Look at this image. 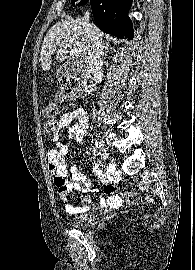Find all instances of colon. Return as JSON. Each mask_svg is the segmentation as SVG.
Returning a JSON list of instances; mask_svg holds the SVG:
<instances>
[{
    "label": "colon",
    "instance_id": "5ec220e1",
    "mask_svg": "<svg viewBox=\"0 0 195 270\" xmlns=\"http://www.w3.org/2000/svg\"><path fill=\"white\" fill-rule=\"evenodd\" d=\"M83 83L77 77H65L60 82L59 99H70L77 97L82 91ZM41 115L46 119L44 131L48 135H55L57 132V122L59 111L56 102L49 101L43 103L40 110ZM141 198L138 192L130 191L125 195L128 204H138Z\"/></svg>",
    "mask_w": 195,
    "mask_h": 270
}]
</instances>
